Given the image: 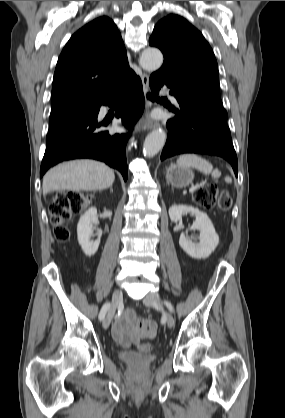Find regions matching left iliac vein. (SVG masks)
<instances>
[{
    "label": "left iliac vein",
    "mask_w": 285,
    "mask_h": 418,
    "mask_svg": "<svg viewBox=\"0 0 285 418\" xmlns=\"http://www.w3.org/2000/svg\"><path fill=\"white\" fill-rule=\"evenodd\" d=\"M144 304L153 308L163 309V304L160 300V296L158 293L152 292L148 294L144 299ZM166 323L169 328L173 327L175 324L174 318L171 313L166 312Z\"/></svg>",
    "instance_id": "1"
}]
</instances>
